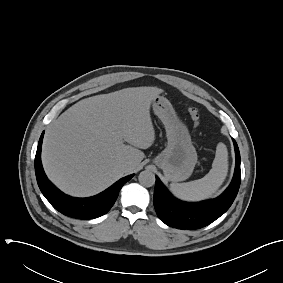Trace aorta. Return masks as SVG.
I'll return each instance as SVG.
<instances>
[{"mask_svg":"<svg viewBox=\"0 0 283 283\" xmlns=\"http://www.w3.org/2000/svg\"><path fill=\"white\" fill-rule=\"evenodd\" d=\"M138 180L142 186L151 187L155 184V175L153 172L145 170L139 174Z\"/></svg>","mask_w":283,"mask_h":283,"instance_id":"obj_1","label":"aorta"}]
</instances>
